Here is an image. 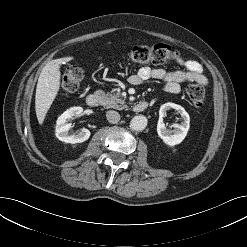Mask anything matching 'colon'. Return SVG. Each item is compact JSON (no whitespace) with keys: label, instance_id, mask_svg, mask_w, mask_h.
Instances as JSON below:
<instances>
[{"label":"colon","instance_id":"obj_1","mask_svg":"<svg viewBox=\"0 0 247 247\" xmlns=\"http://www.w3.org/2000/svg\"><path fill=\"white\" fill-rule=\"evenodd\" d=\"M129 59L138 64L164 65L171 63L176 58V51L164 43H154L148 45H136L128 52ZM84 77L82 68L71 66L67 68L61 76V87L65 93H74L79 89ZM191 103L202 106L205 98V90L201 84H192L186 90Z\"/></svg>","mask_w":247,"mask_h":247}]
</instances>
